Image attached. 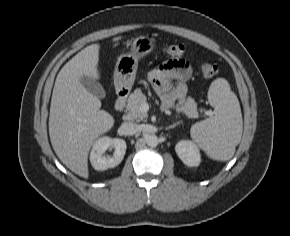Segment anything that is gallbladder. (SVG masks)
Wrapping results in <instances>:
<instances>
[{
    "label": "gallbladder",
    "instance_id": "bac80fb5",
    "mask_svg": "<svg viewBox=\"0 0 290 236\" xmlns=\"http://www.w3.org/2000/svg\"><path fill=\"white\" fill-rule=\"evenodd\" d=\"M80 82L85 87V89L89 91L90 93L94 94L95 96L99 98H105L106 93H105L104 88L101 86L100 83H98L93 78L83 76L80 79Z\"/></svg>",
    "mask_w": 290,
    "mask_h": 236
}]
</instances>
